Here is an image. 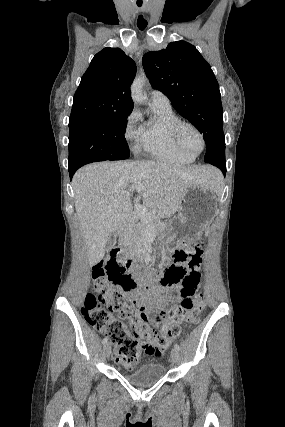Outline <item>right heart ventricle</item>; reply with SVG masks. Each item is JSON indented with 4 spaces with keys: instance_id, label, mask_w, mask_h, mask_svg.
Instances as JSON below:
<instances>
[{
    "instance_id": "1",
    "label": "right heart ventricle",
    "mask_w": 285,
    "mask_h": 427,
    "mask_svg": "<svg viewBox=\"0 0 285 427\" xmlns=\"http://www.w3.org/2000/svg\"><path fill=\"white\" fill-rule=\"evenodd\" d=\"M154 117L142 123L139 128V148L148 153L153 159L175 163L188 164L194 157L182 153L174 144L169 132L170 126L179 120L169 105L150 104Z\"/></svg>"
}]
</instances>
